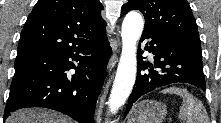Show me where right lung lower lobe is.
<instances>
[{"instance_id": "1", "label": "right lung lower lobe", "mask_w": 221, "mask_h": 123, "mask_svg": "<svg viewBox=\"0 0 221 123\" xmlns=\"http://www.w3.org/2000/svg\"><path fill=\"white\" fill-rule=\"evenodd\" d=\"M110 55L104 34L61 51L16 58L4 119L20 108L44 107L69 115L79 123H94ZM69 69H75V74L68 75L65 71Z\"/></svg>"}]
</instances>
